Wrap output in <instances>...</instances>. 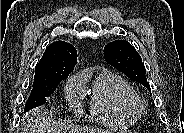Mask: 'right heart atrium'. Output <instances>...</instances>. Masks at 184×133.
Returning <instances> with one entry per match:
<instances>
[{
    "instance_id": "1",
    "label": "right heart atrium",
    "mask_w": 184,
    "mask_h": 133,
    "mask_svg": "<svg viewBox=\"0 0 184 133\" xmlns=\"http://www.w3.org/2000/svg\"><path fill=\"white\" fill-rule=\"evenodd\" d=\"M85 94V85L81 76L71 77L65 85L66 99L75 113L81 112V103Z\"/></svg>"
}]
</instances>
